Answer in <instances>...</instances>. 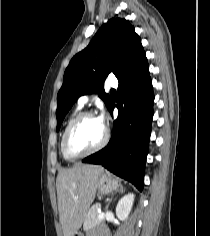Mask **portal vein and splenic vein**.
Listing matches in <instances>:
<instances>
[{
    "label": "portal vein and splenic vein",
    "mask_w": 210,
    "mask_h": 236,
    "mask_svg": "<svg viewBox=\"0 0 210 236\" xmlns=\"http://www.w3.org/2000/svg\"><path fill=\"white\" fill-rule=\"evenodd\" d=\"M98 212H99L98 218L103 219L105 217V214L101 210H98Z\"/></svg>",
    "instance_id": "1"
}]
</instances>
